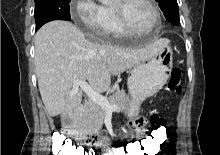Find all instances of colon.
Here are the masks:
<instances>
[{
  "label": "colon",
  "mask_w": 220,
  "mask_h": 155,
  "mask_svg": "<svg viewBox=\"0 0 220 155\" xmlns=\"http://www.w3.org/2000/svg\"><path fill=\"white\" fill-rule=\"evenodd\" d=\"M166 89L171 92L179 93L182 90L181 72L178 68L171 71L170 78L166 85ZM149 125H146L148 135H144V139H131L126 142V147L122 150H112V155H160L163 144H170L168 139L169 129L166 119L153 111L150 116ZM90 140V139H88ZM53 154L56 155H96L105 145H86L84 149L81 143H69L66 138L56 136L53 139Z\"/></svg>",
  "instance_id": "colon-1"
}]
</instances>
